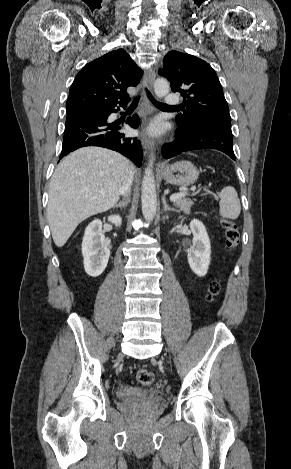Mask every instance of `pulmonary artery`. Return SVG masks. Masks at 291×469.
I'll list each match as a JSON object with an SVG mask.
<instances>
[{"mask_svg": "<svg viewBox=\"0 0 291 469\" xmlns=\"http://www.w3.org/2000/svg\"><path fill=\"white\" fill-rule=\"evenodd\" d=\"M165 104L168 106H177L180 104L179 97L176 94L170 93L165 97Z\"/></svg>", "mask_w": 291, "mask_h": 469, "instance_id": "e3ab8cb5", "label": "pulmonary artery"}]
</instances>
